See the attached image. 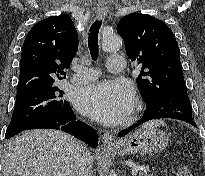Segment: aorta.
Here are the masks:
<instances>
[{"label":"aorta","instance_id":"aorta-1","mask_svg":"<svg viewBox=\"0 0 205 176\" xmlns=\"http://www.w3.org/2000/svg\"><path fill=\"white\" fill-rule=\"evenodd\" d=\"M122 45V39L116 34L108 35L102 40V49L104 51H116Z\"/></svg>","mask_w":205,"mask_h":176}]
</instances>
